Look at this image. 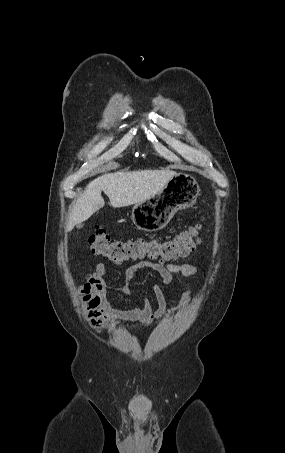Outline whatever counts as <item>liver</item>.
<instances>
[{"instance_id": "1", "label": "liver", "mask_w": 285, "mask_h": 453, "mask_svg": "<svg viewBox=\"0 0 285 453\" xmlns=\"http://www.w3.org/2000/svg\"><path fill=\"white\" fill-rule=\"evenodd\" d=\"M175 171L138 170L115 172L100 176L90 182L73 207L66 231L90 218L105 204L101 192L108 196L114 208H120L143 202L160 192Z\"/></svg>"}]
</instances>
